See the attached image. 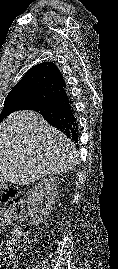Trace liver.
I'll list each match as a JSON object with an SVG mask.
<instances>
[{
  "instance_id": "liver-1",
  "label": "liver",
  "mask_w": 118,
  "mask_h": 269,
  "mask_svg": "<svg viewBox=\"0 0 118 269\" xmlns=\"http://www.w3.org/2000/svg\"><path fill=\"white\" fill-rule=\"evenodd\" d=\"M75 144L30 110L0 123V179L28 185L47 175L67 173L78 163Z\"/></svg>"
}]
</instances>
